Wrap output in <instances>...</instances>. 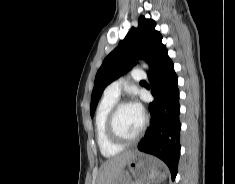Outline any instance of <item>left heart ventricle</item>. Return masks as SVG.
Instances as JSON below:
<instances>
[{
    "mask_svg": "<svg viewBox=\"0 0 235 184\" xmlns=\"http://www.w3.org/2000/svg\"><path fill=\"white\" fill-rule=\"evenodd\" d=\"M143 124V115L137 114L130 106L123 107L117 116V127L126 138H134Z\"/></svg>",
    "mask_w": 235,
    "mask_h": 184,
    "instance_id": "left-heart-ventricle-1",
    "label": "left heart ventricle"
}]
</instances>
